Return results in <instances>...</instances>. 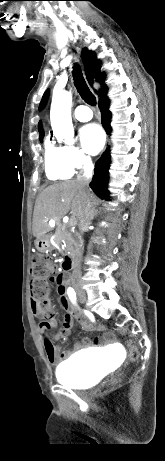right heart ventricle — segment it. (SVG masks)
I'll use <instances>...</instances> for the list:
<instances>
[{"instance_id":"right-heart-ventricle-1","label":"right heart ventricle","mask_w":165,"mask_h":461,"mask_svg":"<svg viewBox=\"0 0 165 461\" xmlns=\"http://www.w3.org/2000/svg\"><path fill=\"white\" fill-rule=\"evenodd\" d=\"M44 165L46 176L53 181L69 179L73 174L62 147H56L50 140L45 142Z\"/></svg>"}]
</instances>
